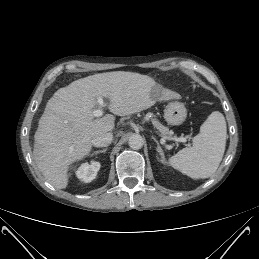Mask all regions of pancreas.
I'll list each match as a JSON object with an SVG mask.
<instances>
[{"instance_id":"obj_1","label":"pancreas","mask_w":259,"mask_h":259,"mask_svg":"<svg viewBox=\"0 0 259 259\" xmlns=\"http://www.w3.org/2000/svg\"><path fill=\"white\" fill-rule=\"evenodd\" d=\"M152 124L162 134H164V135H170L171 134L169 129L167 127L163 126L158 120L153 119Z\"/></svg>"}]
</instances>
